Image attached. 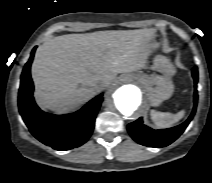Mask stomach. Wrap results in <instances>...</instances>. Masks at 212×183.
<instances>
[{
  "mask_svg": "<svg viewBox=\"0 0 212 183\" xmlns=\"http://www.w3.org/2000/svg\"><path fill=\"white\" fill-rule=\"evenodd\" d=\"M162 37L154 34L150 40L152 47L155 49L161 45ZM152 69L163 74L147 75L142 72L129 74L128 77L137 81L146 93V98L151 106H159L163 101L169 99L174 91V85L171 80L176 72L171 61L161 55H157L153 60Z\"/></svg>",
  "mask_w": 212,
  "mask_h": 183,
  "instance_id": "stomach-1",
  "label": "stomach"
}]
</instances>
